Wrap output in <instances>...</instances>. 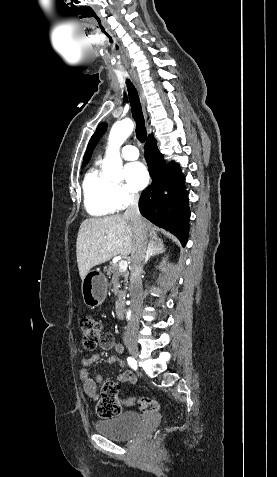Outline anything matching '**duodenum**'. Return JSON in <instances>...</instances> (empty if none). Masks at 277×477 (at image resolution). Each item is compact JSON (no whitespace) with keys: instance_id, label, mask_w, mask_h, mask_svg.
I'll return each instance as SVG.
<instances>
[{"instance_id":"obj_1","label":"duodenum","mask_w":277,"mask_h":477,"mask_svg":"<svg viewBox=\"0 0 277 477\" xmlns=\"http://www.w3.org/2000/svg\"><path fill=\"white\" fill-rule=\"evenodd\" d=\"M115 313L118 318L122 319L124 318V306L121 301L117 302L115 305Z\"/></svg>"}]
</instances>
